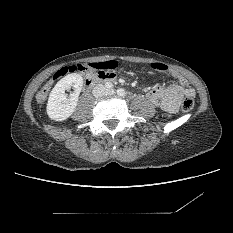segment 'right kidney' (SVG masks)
<instances>
[{
  "label": "right kidney",
  "mask_w": 233,
  "mask_h": 233,
  "mask_svg": "<svg viewBox=\"0 0 233 233\" xmlns=\"http://www.w3.org/2000/svg\"><path fill=\"white\" fill-rule=\"evenodd\" d=\"M82 86L83 78L77 73L68 74L58 81L52 89L47 103L46 111L49 118L55 121H64L69 118L77 106ZM71 87L74 88V92L68 99L65 92Z\"/></svg>",
  "instance_id": "1"
}]
</instances>
